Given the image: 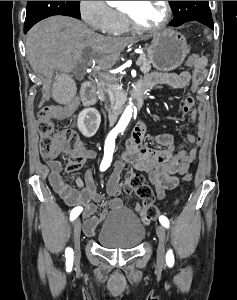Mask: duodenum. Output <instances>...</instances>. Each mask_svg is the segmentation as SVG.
Listing matches in <instances>:
<instances>
[{
	"label": "duodenum",
	"instance_id": "duodenum-1",
	"mask_svg": "<svg viewBox=\"0 0 237 300\" xmlns=\"http://www.w3.org/2000/svg\"><path fill=\"white\" fill-rule=\"evenodd\" d=\"M83 104L88 108H95L97 105V97L94 84L91 81H85L80 91ZM144 102V91L136 89L134 92V105L140 108Z\"/></svg>",
	"mask_w": 237,
	"mask_h": 300
}]
</instances>
